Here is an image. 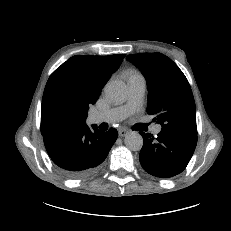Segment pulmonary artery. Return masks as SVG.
Listing matches in <instances>:
<instances>
[{"mask_svg": "<svg viewBox=\"0 0 231 231\" xmlns=\"http://www.w3.org/2000/svg\"><path fill=\"white\" fill-rule=\"evenodd\" d=\"M146 90L144 79L128 82V102L121 107L112 108L105 111H95L90 114L89 120L93 124L115 123L123 120L129 114L140 108ZM162 127L157 124L153 127L154 134L160 133Z\"/></svg>", "mask_w": 231, "mask_h": 231, "instance_id": "1", "label": "pulmonary artery"}]
</instances>
